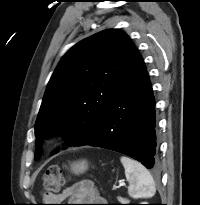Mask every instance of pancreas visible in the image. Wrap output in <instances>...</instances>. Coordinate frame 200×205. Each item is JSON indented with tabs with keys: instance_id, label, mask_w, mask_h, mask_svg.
I'll return each mask as SVG.
<instances>
[{
	"instance_id": "1",
	"label": "pancreas",
	"mask_w": 200,
	"mask_h": 205,
	"mask_svg": "<svg viewBox=\"0 0 200 205\" xmlns=\"http://www.w3.org/2000/svg\"><path fill=\"white\" fill-rule=\"evenodd\" d=\"M118 200H119V201H127V200H125V199H123V198H121V197H118Z\"/></svg>"
}]
</instances>
